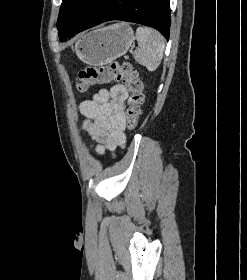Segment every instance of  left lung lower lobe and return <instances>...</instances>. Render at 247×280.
<instances>
[{
  "mask_svg": "<svg viewBox=\"0 0 247 280\" xmlns=\"http://www.w3.org/2000/svg\"><path fill=\"white\" fill-rule=\"evenodd\" d=\"M110 20L153 27L168 40L171 25L169 0H102L83 23L74 31L66 33L62 40Z\"/></svg>",
  "mask_w": 247,
  "mask_h": 280,
  "instance_id": "1",
  "label": "left lung lower lobe"
}]
</instances>
